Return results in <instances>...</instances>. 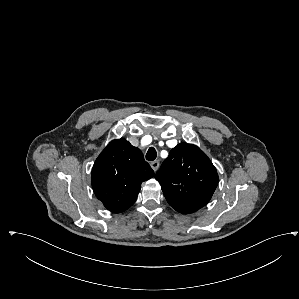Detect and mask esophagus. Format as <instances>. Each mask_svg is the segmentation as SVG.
<instances>
[{
	"label": "esophagus",
	"mask_w": 299,
	"mask_h": 299,
	"mask_svg": "<svg viewBox=\"0 0 299 299\" xmlns=\"http://www.w3.org/2000/svg\"><path fill=\"white\" fill-rule=\"evenodd\" d=\"M159 165H160V163H159L158 160L152 161V162L150 163V166L152 167V169H153L155 172L158 170Z\"/></svg>",
	"instance_id": "1"
}]
</instances>
